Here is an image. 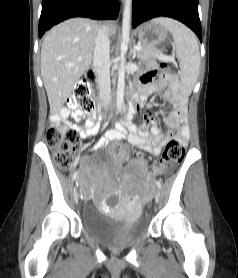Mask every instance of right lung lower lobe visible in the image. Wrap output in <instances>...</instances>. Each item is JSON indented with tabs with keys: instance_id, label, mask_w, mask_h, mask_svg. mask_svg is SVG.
<instances>
[{
	"instance_id": "98d812e1",
	"label": "right lung lower lobe",
	"mask_w": 238,
	"mask_h": 278,
	"mask_svg": "<svg viewBox=\"0 0 238 278\" xmlns=\"http://www.w3.org/2000/svg\"><path fill=\"white\" fill-rule=\"evenodd\" d=\"M119 0H42V12L38 34L68 18L89 17L92 19H116Z\"/></svg>"
}]
</instances>
